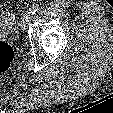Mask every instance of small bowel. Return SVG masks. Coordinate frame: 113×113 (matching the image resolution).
<instances>
[{"mask_svg": "<svg viewBox=\"0 0 113 113\" xmlns=\"http://www.w3.org/2000/svg\"><path fill=\"white\" fill-rule=\"evenodd\" d=\"M1 15H4V16H6V14H3V13H1Z\"/></svg>", "mask_w": 113, "mask_h": 113, "instance_id": "small-bowel-1", "label": "small bowel"}]
</instances>
